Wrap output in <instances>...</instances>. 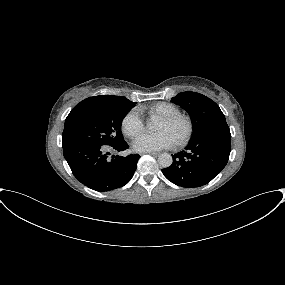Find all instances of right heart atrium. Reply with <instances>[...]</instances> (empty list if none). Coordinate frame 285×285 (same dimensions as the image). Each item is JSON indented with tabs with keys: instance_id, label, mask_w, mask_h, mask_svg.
<instances>
[{
	"instance_id": "1",
	"label": "right heart atrium",
	"mask_w": 285,
	"mask_h": 285,
	"mask_svg": "<svg viewBox=\"0 0 285 285\" xmlns=\"http://www.w3.org/2000/svg\"><path fill=\"white\" fill-rule=\"evenodd\" d=\"M144 125L138 111L136 109L130 110L122 120V131L127 137H135L141 133Z\"/></svg>"
}]
</instances>
